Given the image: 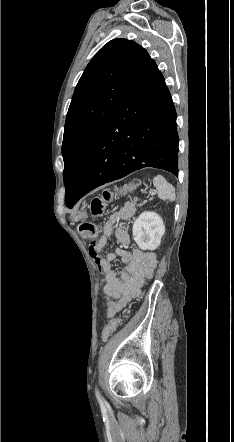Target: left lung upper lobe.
Segmentation results:
<instances>
[{
	"label": "left lung upper lobe",
	"instance_id": "1",
	"mask_svg": "<svg viewBox=\"0 0 234 442\" xmlns=\"http://www.w3.org/2000/svg\"><path fill=\"white\" fill-rule=\"evenodd\" d=\"M150 60L147 51L134 41L114 39L97 52L84 70L64 129L65 202L75 193L99 132Z\"/></svg>",
	"mask_w": 234,
	"mask_h": 442
}]
</instances>
